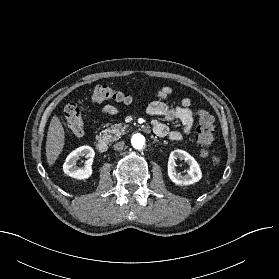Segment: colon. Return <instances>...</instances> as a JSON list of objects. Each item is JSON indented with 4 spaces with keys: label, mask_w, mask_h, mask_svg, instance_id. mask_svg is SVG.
<instances>
[{
    "label": "colon",
    "mask_w": 279,
    "mask_h": 279,
    "mask_svg": "<svg viewBox=\"0 0 279 279\" xmlns=\"http://www.w3.org/2000/svg\"><path fill=\"white\" fill-rule=\"evenodd\" d=\"M91 99L94 102H103L106 100H114L122 103H130L131 97L118 89L112 88L108 85H97L91 90ZM198 126L196 129V139L201 146L202 156H207L215 136V126L212 116L204 110H197ZM64 117L67 127L76 136H81L84 133V119L83 114L74 103H70L64 108Z\"/></svg>",
    "instance_id": "obj_1"
}]
</instances>
